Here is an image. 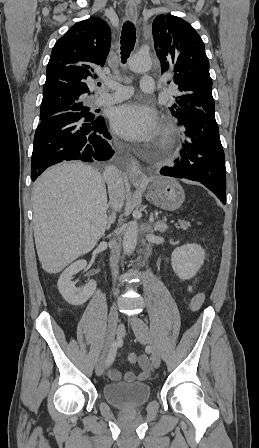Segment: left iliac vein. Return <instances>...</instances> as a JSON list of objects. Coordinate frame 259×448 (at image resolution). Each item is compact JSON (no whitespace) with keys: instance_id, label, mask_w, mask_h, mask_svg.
<instances>
[{"instance_id":"obj_1","label":"left iliac vein","mask_w":259,"mask_h":448,"mask_svg":"<svg viewBox=\"0 0 259 448\" xmlns=\"http://www.w3.org/2000/svg\"><path fill=\"white\" fill-rule=\"evenodd\" d=\"M130 324L137 340L150 346L152 364L155 368H158L160 366V353L149 327L142 319L136 316L130 318Z\"/></svg>"}]
</instances>
